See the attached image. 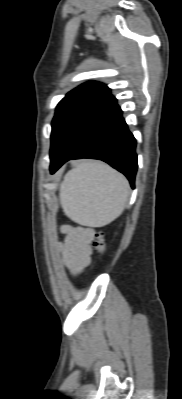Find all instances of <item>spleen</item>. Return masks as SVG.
Segmentation results:
<instances>
[{"instance_id":"3e777b00","label":"spleen","mask_w":182,"mask_h":399,"mask_svg":"<svg viewBox=\"0 0 182 399\" xmlns=\"http://www.w3.org/2000/svg\"><path fill=\"white\" fill-rule=\"evenodd\" d=\"M129 183L109 165L82 161L70 170L60 186V203L74 222L99 227L116 219L129 199Z\"/></svg>"}]
</instances>
